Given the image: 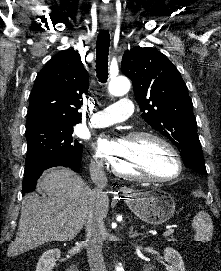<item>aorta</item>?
I'll use <instances>...</instances> for the list:
<instances>
[{
    "mask_svg": "<svg viewBox=\"0 0 221 271\" xmlns=\"http://www.w3.org/2000/svg\"><path fill=\"white\" fill-rule=\"evenodd\" d=\"M130 89V81L126 77H118L110 81L108 92L113 96H123ZM116 271H124L121 266H116Z\"/></svg>",
    "mask_w": 221,
    "mask_h": 271,
    "instance_id": "1",
    "label": "aorta"
}]
</instances>
